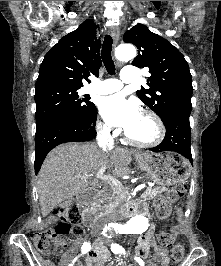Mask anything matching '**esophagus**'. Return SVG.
Masks as SVG:
<instances>
[{
    "label": "esophagus",
    "mask_w": 221,
    "mask_h": 266,
    "mask_svg": "<svg viewBox=\"0 0 221 266\" xmlns=\"http://www.w3.org/2000/svg\"><path fill=\"white\" fill-rule=\"evenodd\" d=\"M110 33L113 39V47H116L119 40V29L116 26L111 27Z\"/></svg>",
    "instance_id": "34e87169"
}]
</instances>
